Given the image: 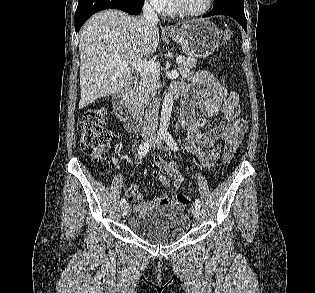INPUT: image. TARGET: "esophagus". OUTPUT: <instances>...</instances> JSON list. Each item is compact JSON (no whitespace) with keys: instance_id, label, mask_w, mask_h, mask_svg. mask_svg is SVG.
Listing matches in <instances>:
<instances>
[{"instance_id":"34e87169","label":"esophagus","mask_w":315,"mask_h":293,"mask_svg":"<svg viewBox=\"0 0 315 293\" xmlns=\"http://www.w3.org/2000/svg\"><path fill=\"white\" fill-rule=\"evenodd\" d=\"M173 28L171 26H165L164 31L171 32Z\"/></svg>"}]
</instances>
